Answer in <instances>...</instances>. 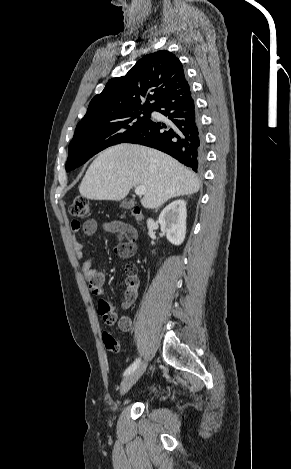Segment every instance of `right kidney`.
Masks as SVG:
<instances>
[{
    "mask_svg": "<svg viewBox=\"0 0 291 469\" xmlns=\"http://www.w3.org/2000/svg\"><path fill=\"white\" fill-rule=\"evenodd\" d=\"M186 202L176 200L166 206L159 215L158 222L161 231L166 233V237L173 245H181L186 234Z\"/></svg>",
    "mask_w": 291,
    "mask_h": 469,
    "instance_id": "obj_1",
    "label": "right kidney"
}]
</instances>
